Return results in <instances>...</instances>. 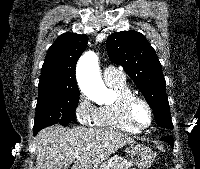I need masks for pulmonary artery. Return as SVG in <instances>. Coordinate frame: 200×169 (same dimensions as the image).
I'll use <instances>...</instances> for the list:
<instances>
[{
    "instance_id": "obj_1",
    "label": "pulmonary artery",
    "mask_w": 200,
    "mask_h": 169,
    "mask_svg": "<svg viewBox=\"0 0 200 169\" xmlns=\"http://www.w3.org/2000/svg\"><path fill=\"white\" fill-rule=\"evenodd\" d=\"M103 78L105 82H110V81L124 79L125 76L123 75L122 72L117 70L115 67L108 66V67H105L103 70Z\"/></svg>"
}]
</instances>
